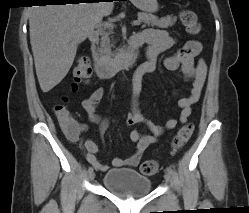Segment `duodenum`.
Instances as JSON below:
<instances>
[{
    "label": "duodenum",
    "mask_w": 249,
    "mask_h": 213,
    "mask_svg": "<svg viewBox=\"0 0 249 213\" xmlns=\"http://www.w3.org/2000/svg\"><path fill=\"white\" fill-rule=\"evenodd\" d=\"M92 44L93 69L96 75L101 79H106L114 76L118 71L131 67L136 58V49L139 47V42L136 36L128 40L124 51L115 60L101 59L96 50L99 42V33L92 32L89 36ZM140 77V73H136V78Z\"/></svg>",
    "instance_id": "410a0bca"
}]
</instances>
